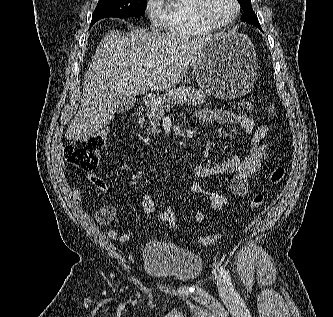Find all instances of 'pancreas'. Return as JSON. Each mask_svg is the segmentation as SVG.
<instances>
[{
  "label": "pancreas",
  "instance_id": "1",
  "mask_svg": "<svg viewBox=\"0 0 333 317\" xmlns=\"http://www.w3.org/2000/svg\"><path fill=\"white\" fill-rule=\"evenodd\" d=\"M206 99L207 96L203 90L191 86H179L168 90L158 98L151 108L148 115L151 127L148 129V133L154 135L159 133L160 120L175 104L187 103L192 106H200L205 103Z\"/></svg>",
  "mask_w": 333,
  "mask_h": 317
}]
</instances>
